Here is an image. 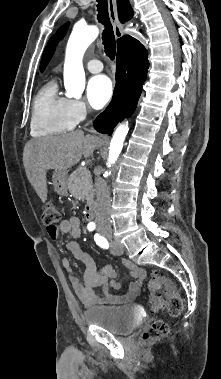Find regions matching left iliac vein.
<instances>
[{
    "mask_svg": "<svg viewBox=\"0 0 221 379\" xmlns=\"http://www.w3.org/2000/svg\"><path fill=\"white\" fill-rule=\"evenodd\" d=\"M110 251L114 255H122L123 254V246L117 241H111L110 243Z\"/></svg>",
    "mask_w": 221,
    "mask_h": 379,
    "instance_id": "1",
    "label": "left iliac vein"
}]
</instances>
